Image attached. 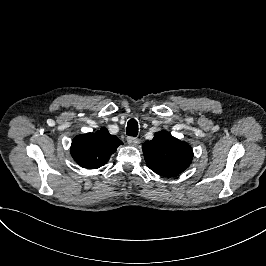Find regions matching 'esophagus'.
Returning <instances> with one entry per match:
<instances>
[{
  "label": "esophagus",
  "instance_id": "obj_1",
  "mask_svg": "<svg viewBox=\"0 0 266 266\" xmlns=\"http://www.w3.org/2000/svg\"><path fill=\"white\" fill-rule=\"evenodd\" d=\"M127 142H128V144H130V145H136V144H138L139 142H140V140L137 138V137H127Z\"/></svg>",
  "mask_w": 266,
  "mask_h": 266
}]
</instances>
